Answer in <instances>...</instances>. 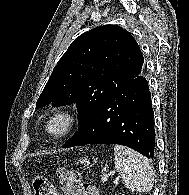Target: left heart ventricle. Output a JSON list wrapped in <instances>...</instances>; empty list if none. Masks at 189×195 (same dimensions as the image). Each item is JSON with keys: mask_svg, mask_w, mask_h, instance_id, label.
Segmentation results:
<instances>
[{"mask_svg": "<svg viewBox=\"0 0 189 195\" xmlns=\"http://www.w3.org/2000/svg\"><path fill=\"white\" fill-rule=\"evenodd\" d=\"M65 125H66V120L63 117H59L51 123L50 129L54 133H58L64 129Z\"/></svg>", "mask_w": 189, "mask_h": 195, "instance_id": "1", "label": "left heart ventricle"}]
</instances>
